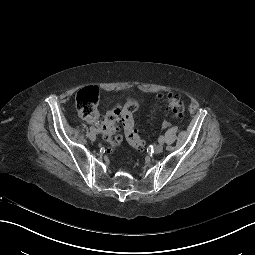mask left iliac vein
<instances>
[{
    "instance_id": "4c4485c4",
    "label": "left iliac vein",
    "mask_w": 255,
    "mask_h": 255,
    "mask_svg": "<svg viewBox=\"0 0 255 255\" xmlns=\"http://www.w3.org/2000/svg\"><path fill=\"white\" fill-rule=\"evenodd\" d=\"M163 151V144H158L155 148H154V152L155 154H159Z\"/></svg>"
}]
</instances>
